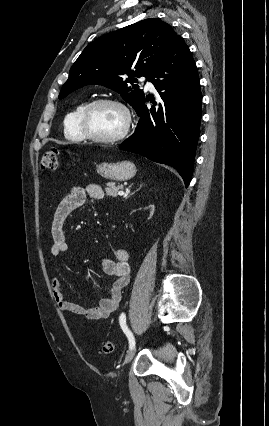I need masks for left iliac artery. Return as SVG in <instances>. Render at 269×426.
<instances>
[{"label":"left iliac artery","instance_id":"obj_1","mask_svg":"<svg viewBox=\"0 0 269 426\" xmlns=\"http://www.w3.org/2000/svg\"><path fill=\"white\" fill-rule=\"evenodd\" d=\"M119 323L123 330V332L126 334L128 340H129V349H132L135 346V338L132 334V332L128 329L126 325V315L122 313L119 317Z\"/></svg>","mask_w":269,"mask_h":426}]
</instances>
